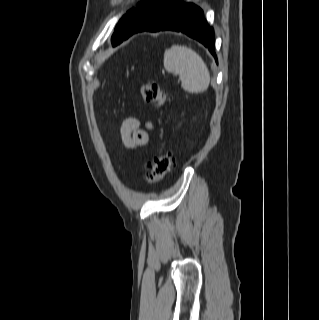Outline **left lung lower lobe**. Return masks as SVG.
I'll use <instances>...</instances> for the list:
<instances>
[{
	"label": "left lung lower lobe",
	"instance_id": "obj_1",
	"mask_svg": "<svg viewBox=\"0 0 319 320\" xmlns=\"http://www.w3.org/2000/svg\"><path fill=\"white\" fill-rule=\"evenodd\" d=\"M163 30L182 32L199 41L217 62L213 28L207 24L201 8L184 3L183 0H158L135 22L125 39L142 31Z\"/></svg>",
	"mask_w": 319,
	"mask_h": 320
}]
</instances>
